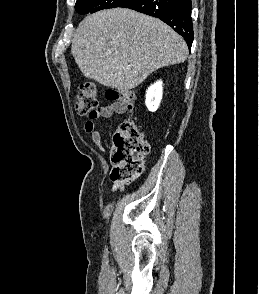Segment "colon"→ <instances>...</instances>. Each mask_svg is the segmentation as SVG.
<instances>
[{
	"label": "colon",
	"mask_w": 259,
	"mask_h": 294,
	"mask_svg": "<svg viewBox=\"0 0 259 294\" xmlns=\"http://www.w3.org/2000/svg\"><path fill=\"white\" fill-rule=\"evenodd\" d=\"M106 98L122 103L128 110L133 109L136 101L134 92L127 89H108ZM97 109L96 85L92 80H85L79 86L75 110L80 116L92 117ZM149 151L150 145L137 124L131 119L124 120L114 136L111 179L122 183L135 181L143 171Z\"/></svg>",
	"instance_id": "colon-1"
}]
</instances>
